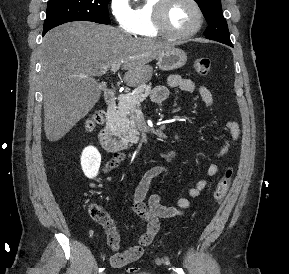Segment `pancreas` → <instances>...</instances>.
Listing matches in <instances>:
<instances>
[{"mask_svg":"<svg viewBox=\"0 0 289 274\" xmlns=\"http://www.w3.org/2000/svg\"><path fill=\"white\" fill-rule=\"evenodd\" d=\"M151 92V86L142 85L118 98L117 110L112 113L108 124L113 134L124 143L139 141L140 133L137 130L135 112Z\"/></svg>","mask_w":289,"mask_h":274,"instance_id":"1","label":"pancreas"}]
</instances>
